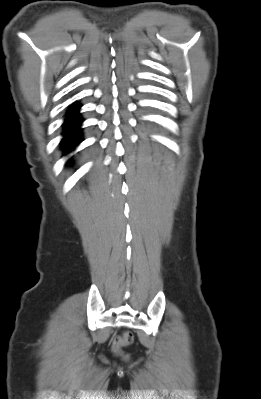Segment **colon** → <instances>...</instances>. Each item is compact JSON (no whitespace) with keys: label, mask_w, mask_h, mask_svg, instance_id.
<instances>
[{"label":"colon","mask_w":261,"mask_h":399,"mask_svg":"<svg viewBox=\"0 0 261 399\" xmlns=\"http://www.w3.org/2000/svg\"><path fill=\"white\" fill-rule=\"evenodd\" d=\"M132 342L133 335L130 332L116 336L113 340V350L115 352H120L123 347L130 345Z\"/></svg>","instance_id":"1"}]
</instances>
